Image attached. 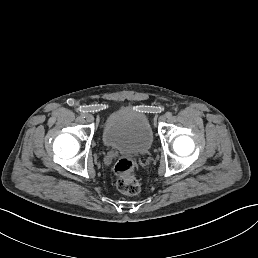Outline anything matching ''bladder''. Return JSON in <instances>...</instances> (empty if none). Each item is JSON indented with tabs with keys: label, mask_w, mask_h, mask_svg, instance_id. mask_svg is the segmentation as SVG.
<instances>
[{
	"label": "bladder",
	"mask_w": 258,
	"mask_h": 258,
	"mask_svg": "<svg viewBox=\"0 0 258 258\" xmlns=\"http://www.w3.org/2000/svg\"><path fill=\"white\" fill-rule=\"evenodd\" d=\"M106 147L118 155L135 159L148 152L153 132L147 116L136 108H120L111 112L102 129Z\"/></svg>",
	"instance_id": "obj_1"
}]
</instances>
